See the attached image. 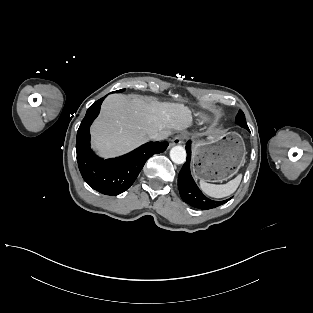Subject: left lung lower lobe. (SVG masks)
Segmentation results:
<instances>
[{
    "instance_id": "obj_1",
    "label": "left lung lower lobe",
    "mask_w": 313,
    "mask_h": 313,
    "mask_svg": "<svg viewBox=\"0 0 313 313\" xmlns=\"http://www.w3.org/2000/svg\"><path fill=\"white\" fill-rule=\"evenodd\" d=\"M191 142L188 141L186 144V151H187V161L183 165L179 175H178V188L179 193L182 200L192 207L207 210L211 208L218 207L222 204H225L230 199L224 201H214L207 198L197 187L195 184L191 173H190V158H191Z\"/></svg>"
}]
</instances>
